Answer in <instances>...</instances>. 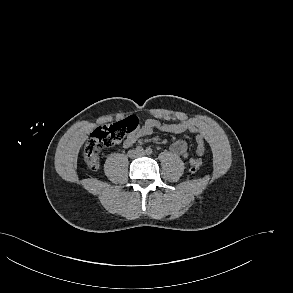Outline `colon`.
Masks as SVG:
<instances>
[{
	"label": "colon",
	"mask_w": 293,
	"mask_h": 293,
	"mask_svg": "<svg viewBox=\"0 0 293 293\" xmlns=\"http://www.w3.org/2000/svg\"><path fill=\"white\" fill-rule=\"evenodd\" d=\"M137 127L135 118L130 117L126 120L106 125L95 129L90 138L85 143L83 157L88 168L96 170L99 166V154L103 148L111 147L119 143L127 134L131 133ZM201 162L192 164L191 173L199 171Z\"/></svg>",
	"instance_id": "5ec220e1"
}]
</instances>
